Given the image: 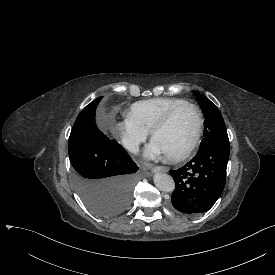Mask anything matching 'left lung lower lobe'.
<instances>
[{
  "label": "left lung lower lobe",
  "instance_id": "0a47b994",
  "mask_svg": "<svg viewBox=\"0 0 275 275\" xmlns=\"http://www.w3.org/2000/svg\"><path fill=\"white\" fill-rule=\"evenodd\" d=\"M228 158L229 142H218L200 149L182 168L170 170L176 184L174 209L189 216L208 211L224 189Z\"/></svg>",
  "mask_w": 275,
  "mask_h": 275
}]
</instances>
